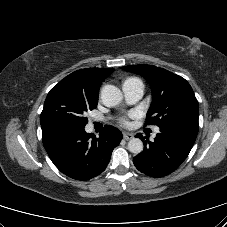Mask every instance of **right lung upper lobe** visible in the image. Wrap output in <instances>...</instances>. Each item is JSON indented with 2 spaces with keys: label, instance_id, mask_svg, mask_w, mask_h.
<instances>
[{
  "label": "right lung upper lobe",
  "instance_id": "cb5924a9",
  "mask_svg": "<svg viewBox=\"0 0 227 227\" xmlns=\"http://www.w3.org/2000/svg\"><path fill=\"white\" fill-rule=\"evenodd\" d=\"M114 69L86 68L75 71L66 76L59 83L71 88L79 89L98 98V91L102 81L108 77Z\"/></svg>",
  "mask_w": 227,
  "mask_h": 227
}]
</instances>
